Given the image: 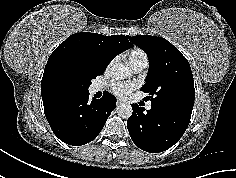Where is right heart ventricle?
<instances>
[{
	"label": "right heart ventricle",
	"mask_w": 236,
	"mask_h": 178,
	"mask_svg": "<svg viewBox=\"0 0 236 178\" xmlns=\"http://www.w3.org/2000/svg\"><path fill=\"white\" fill-rule=\"evenodd\" d=\"M127 57H128V61H129L132 68L140 63H147L148 64V59H147L146 53L139 48L131 49L128 52Z\"/></svg>",
	"instance_id": "1"
}]
</instances>
